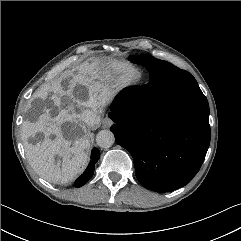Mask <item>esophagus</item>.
Masks as SVG:
<instances>
[{
	"mask_svg": "<svg viewBox=\"0 0 241 241\" xmlns=\"http://www.w3.org/2000/svg\"><path fill=\"white\" fill-rule=\"evenodd\" d=\"M113 124V121L106 117L104 120H103V127L104 128H109L111 125Z\"/></svg>",
	"mask_w": 241,
	"mask_h": 241,
	"instance_id": "34e87169",
	"label": "esophagus"
}]
</instances>
